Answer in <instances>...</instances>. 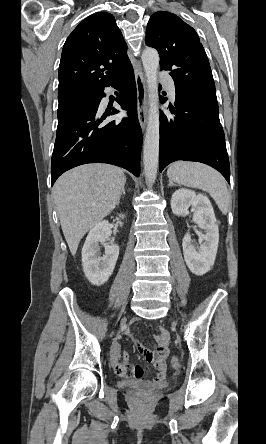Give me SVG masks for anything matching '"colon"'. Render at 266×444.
Returning a JSON list of instances; mask_svg holds the SVG:
<instances>
[{"mask_svg": "<svg viewBox=\"0 0 266 444\" xmlns=\"http://www.w3.org/2000/svg\"><path fill=\"white\" fill-rule=\"evenodd\" d=\"M171 366L173 368L179 367V359L177 357H172V359H171Z\"/></svg>", "mask_w": 266, "mask_h": 444, "instance_id": "5ec220e1", "label": "colon"}]
</instances>
